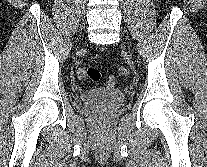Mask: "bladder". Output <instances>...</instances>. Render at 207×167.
I'll return each mask as SVG.
<instances>
[{
    "mask_svg": "<svg viewBox=\"0 0 207 167\" xmlns=\"http://www.w3.org/2000/svg\"><path fill=\"white\" fill-rule=\"evenodd\" d=\"M125 98V93L119 89H90L79 95V101L84 105H115L123 102Z\"/></svg>",
    "mask_w": 207,
    "mask_h": 167,
    "instance_id": "obj_1",
    "label": "bladder"
}]
</instances>
